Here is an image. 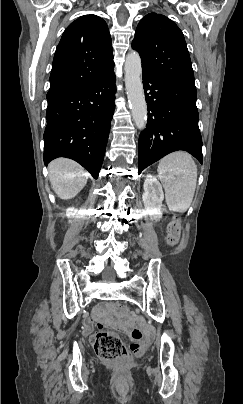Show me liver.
<instances>
[{
  "instance_id": "1",
  "label": "liver",
  "mask_w": 243,
  "mask_h": 404,
  "mask_svg": "<svg viewBox=\"0 0 243 404\" xmlns=\"http://www.w3.org/2000/svg\"><path fill=\"white\" fill-rule=\"evenodd\" d=\"M50 184L61 200H71L75 198L89 178L79 164L67 158H57L48 166Z\"/></svg>"
}]
</instances>
